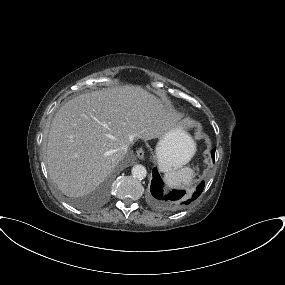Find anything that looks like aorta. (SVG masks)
I'll use <instances>...</instances> for the list:
<instances>
[{
  "label": "aorta",
  "instance_id": "1",
  "mask_svg": "<svg viewBox=\"0 0 285 285\" xmlns=\"http://www.w3.org/2000/svg\"><path fill=\"white\" fill-rule=\"evenodd\" d=\"M131 173L135 179L142 180L146 177L147 170L143 165L137 164V165L133 166Z\"/></svg>",
  "mask_w": 285,
  "mask_h": 285
}]
</instances>
